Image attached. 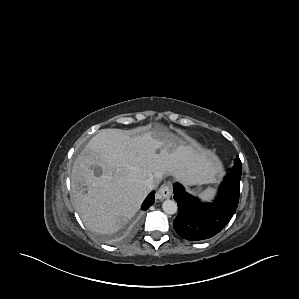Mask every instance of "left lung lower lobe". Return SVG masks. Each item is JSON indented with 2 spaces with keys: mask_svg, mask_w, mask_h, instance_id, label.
<instances>
[{
  "mask_svg": "<svg viewBox=\"0 0 299 299\" xmlns=\"http://www.w3.org/2000/svg\"><path fill=\"white\" fill-rule=\"evenodd\" d=\"M241 174L230 170L224 177L212 203H201L185 192L182 185H173L178 215L173 222L176 232L190 241L204 240L219 233L234 215L240 193Z\"/></svg>",
  "mask_w": 299,
  "mask_h": 299,
  "instance_id": "left-lung-lower-lobe-1",
  "label": "left lung lower lobe"
}]
</instances>
